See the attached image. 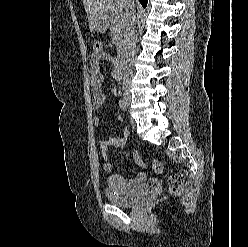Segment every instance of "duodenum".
<instances>
[{
    "label": "duodenum",
    "instance_id": "duodenum-1",
    "mask_svg": "<svg viewBox=\"0 0 248 247\" xmlns=\"http://www.w3.org/2000/svg\"><path fill=\"white\" fill-rule=\"evenodd\" d=\"M126 66H127V56L122 54L117 59L116 68L119 73H123L125 71Z\"/></svg>",
    "mask_w": 248,
    "mask_h": 247
}]
</instances>
